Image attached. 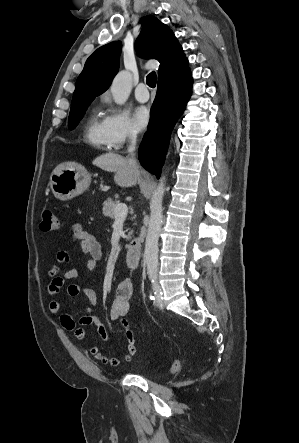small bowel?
I'll return each instance as SVG.
<instances>
[{
  "label": "small bowel",
  "instance_id": "obj_1",
  "mask_svg": "<svg viewBox=\"0 0 299 443\" xmlns=\"http://www.w3.org/2000/svg\"><path fill=\"white\" fill-rule=\"evenodd\" d=\"M79 244L81 253L88 255L87 269L91 272L96 271L97 262L102 258L103 247L96 237L87 232L82 225L74 224L70 236L63 242V245L57 250L56 264L52 265L48 270V275L51 281L48 285V295L51 300L49 302V311L58 316L62 327L70 332L76 340L83 341L86 338L84 327L94 325L97 334L103 342H108L110 339L109 332L105 325L95 315L91 314L92 308L97 303L96 292L89 287L81 286L79 284H70L67 288V295L76 297L80 294L84 295L89 302V306L85 309V314L77 321L68 312H61V303L55 299V296L61 291L64 284L68 281L79 279L81 273L78 269L72 268L65 272H61L59 264L69 260V253L66 248ZM132 268V267H131ZM133 280L131 275L123 278L116 287L115 298L113 299L109 315L110 318L121 323L126 328V337L128 339L127 350L116 357H109L104 354L98 345L91 344L89 346L90 354L98 361L111 366H119L123 362H129L133 359L136 353L134 339L131 337V330L128 327L127 316L130 311L131 300L133 297Z\"/></svg>",
  "mask_w": 299,
  "mask_h": 443
}]
</instances>
